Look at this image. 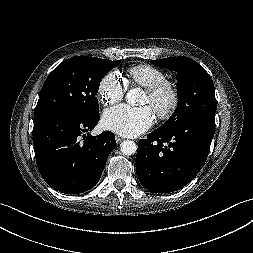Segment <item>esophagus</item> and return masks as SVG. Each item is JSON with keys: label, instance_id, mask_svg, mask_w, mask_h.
Masks as SVG:
<instances>
[{"label": "esophagus", "instance_id": "esophagus-1", "mask_svg": "<svg viewBox=\"0 0 253 253\" xmlns=\"http://www.w3.org/2000/svg\"><path fill=\"white\" fill-rule=\"evenodd\" d=\"M122 141H123V138H121L120 136H116L117 144L121 143Z\"/></svg>", "mask_w": 253, "mask_h": 253}]
</instances>
